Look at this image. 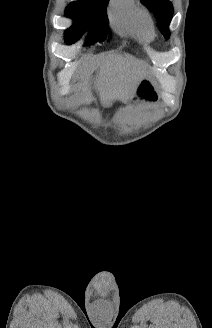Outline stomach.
<instances>
[{
  "instance_id": "obj_1",
  "label": "stomach",
  "mask_w": 212,
  "mask_h": 328,
  "mask_svg": "<svg viewBox=\"0 0 212 328\" xmlns=\"http://www.w3.org/2000/svg\"><path fill=\"white\" fill-rule=\"evenodd\" d=\"M137 93L139 96L151 101L157 99V95L153 89L152 83L148 79H143L139 82L137 87Z\"/></svg>"
}]
</instances>
